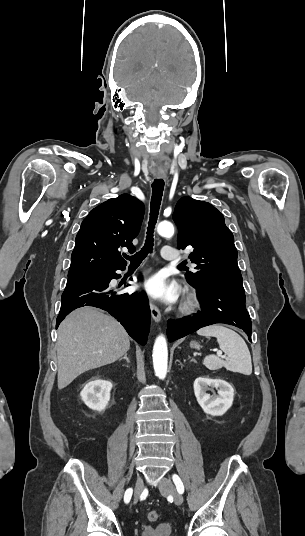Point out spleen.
<instances>
[{
  "label": "spleen",
  "instance_id": "3e777b00",
  "mask_svg": "<svg viewBox=\"0 0 305 536\" xmlns=\"http://www.w3.org/2000/svg\"><path fill=\"white\" fill-rule=\"evenodd\" d=\"M199 336H213L217 338L220 350L225 352L228 356V360H222L219 356H206L203 360L204 366L208 370H220V368H226L229 372H239L244 376H250L252 374V362L250 352L241 336L224 328L221 324H214V326H206L198 330Z\"/></svg>",
  "mask_w": 305,
  "mask_h": 536
}]
</instances>
